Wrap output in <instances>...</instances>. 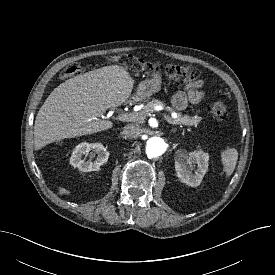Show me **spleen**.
Segmentation results:
<instances>
[{
	"mask_svg": "<svg viewBox=\"0 0 275 275\" xmlns=\"http://www.w3.org/2000/svg\"><path fill=\"white\" fill-rule=\"evenodd\" d=\"M238 152L235 148H227L221 153V161L227 176H230L236 166Z\"/></svg>",
	"mask_w": 275,
	"mask_h": 275,
	"instance_id": "1",
	"label": "spleen"
}]
</instances>
